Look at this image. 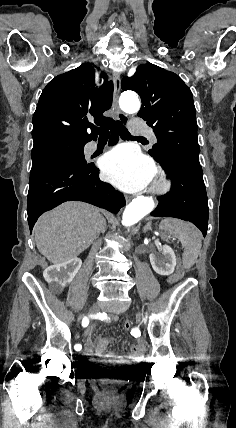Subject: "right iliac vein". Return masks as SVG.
<instances>
[{
  "instance_id": "63e3f726",
  "label": "right iliac vein",
  "mask_w": 236,
  "mask_h": 428,
  "mask_svg": "<svg viewBox=\"0 0 236 428\" xmlns=\"http://www.w3.org/2000/svg\"><path fill=\"white\" fill-rule=\"evenodd\" d=\"M92 306H95V303H92ZM94 309L92 308L90 311H89V314L93 317L95 314H94ZM92 330H94V325H89V328H87V331H84L83 332V335L84 336H87L88 335V333H92Z\"/></svg>"
}]
</instances>
